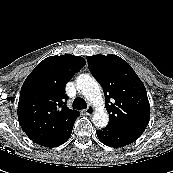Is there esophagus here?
Returning <instances> with one entry per match:
<instances>
[{
	"mask_svg": "<svg viewBox=\"0 0 173 173\" xmlns=\"http://www.w3.org/2000/svg\"><path fill=\"white\" fill-rule=\"evenodd\" d=\"M84 112L86 115H91V113L93 112V108L88 105L86 109H84Z\"/></svg>",
	"mask_w": 173,
	"mask_h": 173,
	"instance_id": "34e87169",
	"label": "esophagus"
}]
</instances>
